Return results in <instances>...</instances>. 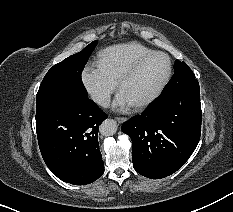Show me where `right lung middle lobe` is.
Segmentation results:
<instances>
[{
  "instance_id": "right-lung-middle-lobe-1",
  "label": "right lung middle lobe",
  "mask_w": 233,
  "mask_h": 212,
  "mask_svg": "<svg viewBox=\"0 0 233 212\" xmlns=\"http://www.w3.org/2000/svg\"><path fill=\"white\" fill-rule=\"evenodd\" d=\"M96 45L97 41H93L82 51L64 59L47 72L37 93L36 117L55 106L67 95H87L81 73Z\"/></svg>"
}]
</instances>
